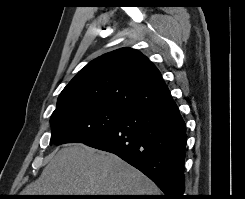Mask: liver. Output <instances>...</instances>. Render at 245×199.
<instances>
[{"instance_id":"1","label":"liver","mask_w":245,"mask_h":199,"mask_svg":"<svg viewBox=\"0 0 245 199\" xmlns=\"http://www.w3.org/2000/svg\"><path fill=\"white\" fill-rule=\"evenodd\" d=\"M21 195H158V187L118 156L84 144L63 147Z\"/></svg>"}]
</instances>
